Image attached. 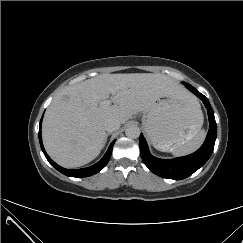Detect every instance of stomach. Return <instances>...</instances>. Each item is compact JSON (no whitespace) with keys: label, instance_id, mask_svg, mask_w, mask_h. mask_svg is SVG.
I'll list each match as a JSON object with an SVG mask.
<instances>
[{"label":"stomach","instance_id":"0dacf381","mask_svg":"<svg viewBox=\"0 0 243 243\" xmlns=\"http://www.w3.org/2000/svg\"><path fill=\"white\" fill-rule=\"evenodd\" d=\"M142 123L153 146L170 151L196 135L201 129L203 115L192 96L183 100L162 97L145 111Z\"/></svg>","mask_w":243,"mask_h":243}]
</instances>
